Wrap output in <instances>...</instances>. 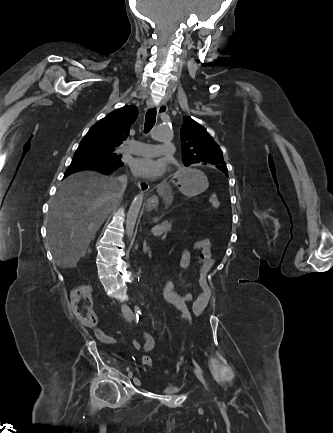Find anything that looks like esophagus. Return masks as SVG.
<instances>
[{
	"instance_id": "obj_1",
	"label": "esophagus",
	"mask_w": 333,
	"mask_h": 433,
	"mask_svg": "<svg viewBox=\"0 0 333 433\" xmlns=\"http://www.w3.org/2000/svg\"><path fill=\"white\" fill-rule=\"evenodd\" d=\"M167 110L166 103L162 102L157 110V118L160 119V117L165 114ZM137 185L141 192H146L149 189V183L145 180H138Z\"/></svg>"
}]
</instances>
